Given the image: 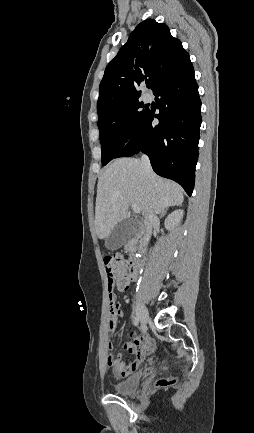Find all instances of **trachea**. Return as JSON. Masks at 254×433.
<instances>
[{"instance_id":"obj_1","label":"trachea","mask_w":254,"mask_h":433,"mask_svg":"<svg viewBox=\"0 0 254 433\" xmlns=\"http://www.w3.org/2000/svg\"><path fill=\"white\" fill-rule=\"evenodd\" d=\"M151 86L150 85H147V88H150Z\"/></svg>"}]
</instances>
